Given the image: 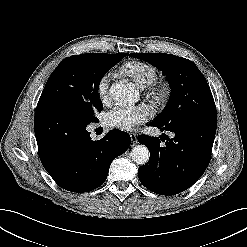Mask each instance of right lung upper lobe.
Returning a JSON list of instances; mask_svg holds the SVG:
<instances>
[{"instance_id": "cb5924a9", "label": "right lung upper lobe", "mask_w": 247, "mask_h": 247, "mask_svg": "<svg viewBox=\"0 0 247 247\" xmlns=\"http://www.w3.org/2000/svg\"><path fill=\"white\" fill-rule=\"evenodd\" d=\"M92 55L100 56V57H103L107 60H119V61L126 56V54H124V53H122V54L101 53V54H92Z\"/></svg>"}]
</instances>
